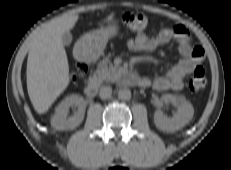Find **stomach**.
Returning a JSON list of instances; mask_svg holds the SVG:
<instances>
[{"label": "stomach", "mask_w": 231, "mask_h": 170, "mask_svg": "<svg viewBox=\"0 0 231 170\" xmlns=\"http://www.w3.org/2000/svg\"><path fill=\"white\" fill-rule=\"evenodd\" d=\"M119 28L116 24H109L98 30L83 35L77 42V47L88 59H97L102 55L110 38L118 34Z\"/></svg>", "instance_id": "stomach-1"}]
</instances>
